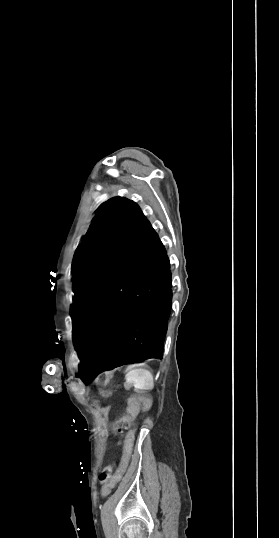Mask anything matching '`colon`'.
Here are the masks:
<instances>
[{
    "instance_id": "obj_1",
    "label": "colon",
    "mask_w": 279,
    "mask_h": 538,
    "mask_svg": "<svg viewBox=\"0 0 279 538\" xmlns=\"http://www.w3.org/2000/svg\"><path fill=\"white\" fill-rule=\"evenodd\" d=\"M140 401L141 398L139 396H134L133 398H131L126 413L114 422V431L118 432L129 429L131 427L132 422L139 411ZM134 442L135 431L131 430L125 437L121 459L115 472L111 474L112 464L109 461L106 462L105 466L103 467L100 473V480L105 482L102 487L103 497L109 496L113 488L121 480L128 465Z\"/></svg>"
}]
</instances>
